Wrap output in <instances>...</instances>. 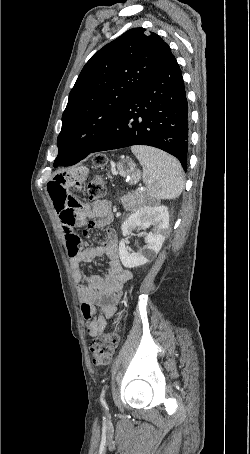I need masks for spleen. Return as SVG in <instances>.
Here are the masks:
<instances>
[{"label":"spleen","instance_id":"obj_1","mask_svg":"<svg viewBox=\"0 0 250 454\" xmlns=\"http://www.w3.org/2000/svg\"><path fill=\"white\" fill-rule=\"evenodd\" d=\"M143 167V181L151 199H175L184 187L182 167L177 159L148 146H132Z\"/></svg>","mask_w":250,"mask_h":454}]
</instances>
